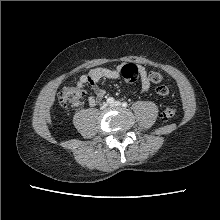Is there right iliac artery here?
<instances>
[{"label": "right iliac artery", "instance_id": "obj_1", "mask_svg": "<svg viewBox=\"0 0 220 220\" xmlns=\"http://www.w3.org/2000/svg\"><path fill=\"white\" fill-rule=\"evenodd\" d=\"M114 102V98L113 97H109L107 99V103L112 104Z\"/></svg>", "mask_w": 220, "mask_h": 220}]
</instances>
